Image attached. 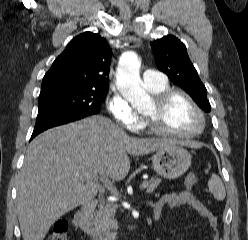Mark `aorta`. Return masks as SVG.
<instances>
[{
    "label": "aorta",
    "instance_id": "aorta-1",
    "mask_svg": "<svg viewBox=\"0 0 248 240\" xmlns=\"http://www.w3.org/2000/svg\"><path fill=\"white\" fill-rule=\"evenodd\" d=\"M140 65L137 54L128 51L120 57L116 73L118 90L132 106L138 109L150 103V97L141 84Z\"/></svg>",
    "mask_w": 248,
    "mask_h": 240
}]
</instances>
